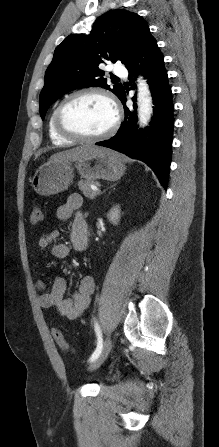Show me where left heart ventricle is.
Listing matches in <instances>:
<instances>
[{"label": "left heart ventricle", "instance_id": "obj_1", "mask_svg": "<svg viewBox=\"0 0 219 447\" xmlns=\"http://www.w3.org/2000/svg\"><path fill=\"white\" fill-rule=\"evenodd\" d=\"M114 118L111 105L97 95H85L71 102L64 111L67 127L86 135H97L109 128Z\"/></svg>", "mask_w": 219, "mask_h": 447}]
</instances>
